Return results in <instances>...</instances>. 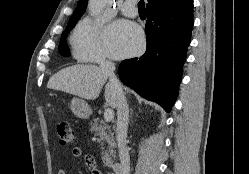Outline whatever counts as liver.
Listing matches in <instances>:
<instances>
[{"label": "liver", "instance_id": "1", "mask_svg": "<svg viewBox=\"0 0 249 174\" xmlns=\"http://www.w3.org/2000/svg\"><path fill=\"white\" fill-rule=\"evenodd\" d=\"M108 76L96 65L78 64L66 67L50 77L47 87L79 96L96 99ZM105 100L112 108L117 107V94L110 81L105 86Z\"/></svg>", "mask_w": 249, "mask_h": 174}]
</instances>
